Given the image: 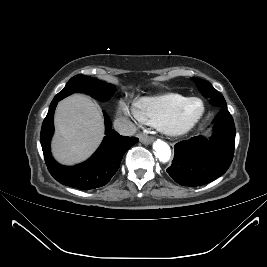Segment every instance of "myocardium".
<instances>
[{"mask_svg":"<svg viewBox=\"0 0 267 267\" xmlns=\"http://www.w3.org/2000/svg\"><path fill=\"white\" fill-rule=\"evenodd\" d=\"M197 100L201 103V111L199 115L192 120L191 122L179 125L177 123L178 118L186 107V105L191 102ZM206 112L205 102L199 97H187L182 103H180L174 110H172L166 117H164L158 124L157 128L167 136L170 137H179L187 134L191 131L204 117Z\"/></svg>","mask_w":267,"mask_h":267,"instance_id":"1","label":"myocardium"}]
</instances>
